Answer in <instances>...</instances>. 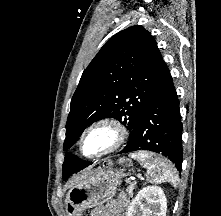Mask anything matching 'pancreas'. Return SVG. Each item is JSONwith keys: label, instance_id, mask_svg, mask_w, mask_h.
I'll return each mask as SVG.
<instances>
[{"label": "pancreas", "instance_id": "pancreas-1", "mask_svg": "<svg viewBox=\"0 0 221 216\" xmlns=\"http://www.w3.org/2000/svg\"><path fill=\"white\" fill-rule=\"evenodd\" d=\"M135 188V185L134 184H131L127 187V192L128 194L130 195V197L133 195V190Z\"/></svg>", "mask_w": 221, "mask_h": 216}]
</instances>
